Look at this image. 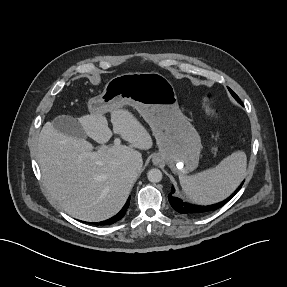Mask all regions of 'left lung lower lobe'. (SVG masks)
Returning <instances> with one entry per match:
<instances>
[{"instance_id":"0a47b994","label":"left lung lower lobe","mask_w":287,"mask_h":287,"mask_svg":"<svg viewBox=\"0 0 287 287\" xmlns=\"http://www.w3.org/2000/svg\"><path fill=\"white\" fill-rule=\"evenodd\" d=\"M241 187H242V184L238 187L235 193H237ZM174 192H175V189L172 187V191L168 195L170 205L175 211L185 216H200V215H204L209 212L215 211L218 208L222 207L225 203H227L235 194L234 193L233 195H231L224 201L219 202L217 204L208 205V206H200V205L189 204L187 202L182 201L181 199H179L178 197L174 195Z\"/></svg>"}]
</instances>
